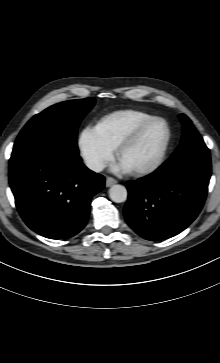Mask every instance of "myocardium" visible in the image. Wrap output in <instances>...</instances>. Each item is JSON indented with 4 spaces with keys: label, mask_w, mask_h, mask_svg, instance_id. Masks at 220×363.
Listing matches in <instances>:
<instances>
[{
    "label": "myocardium",
    "mask_w": 220,
    "mask_h": 363,
    "mask_svg": "<svg viewBox=\"0 0 220 363\" xmlns=\"http://www.w3.org/2000/svg\"><path fill=\"white\" fill-rule=\"evenodd\" d=\"M157 122H162L166 127V139L164 141V144L157 156V158L149 165L136 168L131 170V173L133 175H147L154 171H156L164 162L165 157L167 155V152L169 150L171 140H172V131L169 123L161 117H153L138 126H136L134 129H132L115 147V156L119 158L121 153L126 150L128 147H130L133 143L136 142V140L140 137V135L151 125Z\"/></svg>",
    "instance_id": "1"
}]
</instances>
